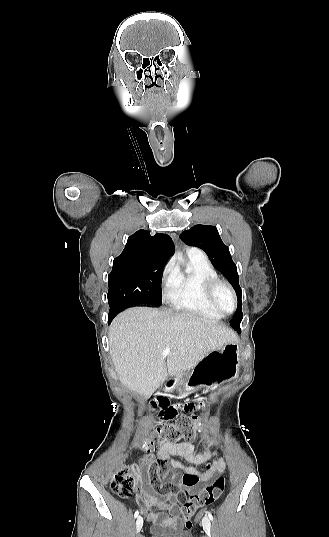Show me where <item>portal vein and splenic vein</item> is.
<instances>
[{"mask_svg": "<svg viewBox=\"0 0 329 537\" xmlns=\"http://www.w3.org/2000/svg\"><path fill=\"white\" fill-rule=\"evenodd\" d=\"M169 353H170V347H167V348L163 351V356H167Z\"/></svg>", "mask_w": 329, "mask_h": 537, "instance_id": "obj_1", "label": "portal vein and splenic vein"}]
</instances>
